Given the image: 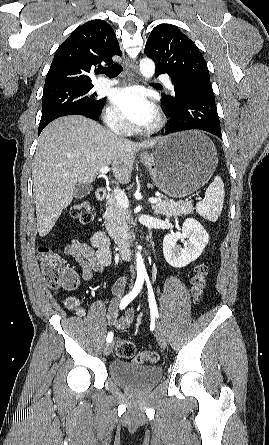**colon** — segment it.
<instances>
[{
  "mask_svg": "<svg viewBox=\"0 0 269 445\" xmlns=\"http://www.w3.org/2000/svg\"><path fill=\"white\" fill-rule=\"evenodd\" d=\"M69 217L79 223L86 225L92 221L91 204L89 201L82 200L74 203L68 211ZM38 259L41 264L46 284L53 289L72 290L77 282L73 276L69 275L61 258L49 247L41 246L38 249ZM208 267L204 264L199 265L192 278L190 293L193 301L199 303L204 295L207 285ZM116 354L125 359H132L135 363H156L159 360V354L156 351H143L136 353L135 345L125 339H121L116 344Z\"/></svg>",
  "mask_w": 269,
  "mask_h": 445,
  "instance_id": "1",
  "label": "colon"
}]
</instances>
